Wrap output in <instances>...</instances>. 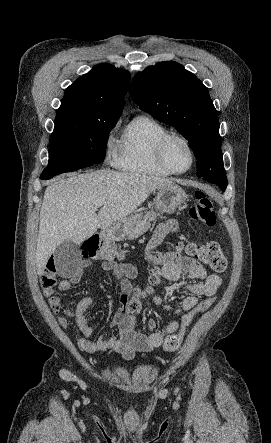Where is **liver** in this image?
Wrapping results in <instances>:
<instances>
[{
  "instance_id": "1",
  "label": "liver",
  "mask_w": 271,
  "mask_h": 443,
  "mask_svg": "<svg viewBox=\"0 0 271 443\" xmlns=\"http://www.w3.org/2000/svg\"><path fill=\"white\" fill-rule=\"evenodd\" d=\"M65 176L45 190L35 255L39 275L60 243L80 245L98 227L108 231L111 225L126 222L154 190L172 184L165 178L112 170ZM101 200L105 204L96 214L95 202Z\"/></svg>"
}]
</instances>
